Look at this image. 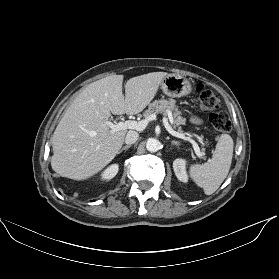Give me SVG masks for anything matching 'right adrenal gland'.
<instances>
[{
  "label": "right adrenal gland",
  "mask_w": 279,
  "mask_h": 279,
  "mask_svg": "<svg viewBox=\"0 0 279 279\" xmlns=\"http://www.w3.org/2000/svg\"><path fill=\"white\" fill-rule=\"evenodd\" d=\"M130 147H131V145L123 146V147L119 150L118 154H120V153L123 152L124 150H128Z\"/></svg>",
  "instance_id": "right-adrenal-gland-1"
}]
</instances>
